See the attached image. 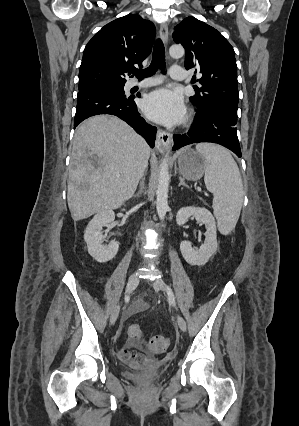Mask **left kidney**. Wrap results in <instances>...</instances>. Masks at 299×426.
Listing matches in <instances>:
<instances>
[{"label":"left kidney","instance_id":"left-kidney-1","mask_svg":"<svg viewBox=\"0 0 299 426\" xmlns=\"http://www.w3.org/2000/svg\"><path fill=\"white\" fill-rule=\"evenodd\" d=\"M193 216L197 222L205 224V241L195 250L188 241L180 243L183 258L190 265L202 266L208 262L210 257L217 251L216 222L211 212L204 207H183L178 210L176 222L179 226L184 225Z\"/></svg>","mask_w":299,"mask_h":426}]
</instances>
